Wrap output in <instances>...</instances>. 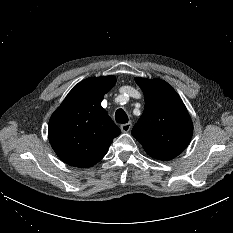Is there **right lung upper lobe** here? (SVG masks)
<instances>
[{
  "label": "right lung upper lobe",
  "instance_id": "1",
  "mask_svg": "<svg viewBox=\"0 0 233 233\" xmlns=\"http://www.w3.org/2000/svg\"><path fill=\"white\" fill-rule=\"evenodd\" d=\"M114 76L87 78L78 83L52 114L48 137L65 163L87 168L107 153L120 129L101 106L104 95L115 85Z\"/></svg>",
  "mask_w": 233,
  "mask_h": 233
}]
</instances>
